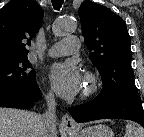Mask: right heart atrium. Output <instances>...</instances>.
I'll return each instance as SVG.
<instances>
[{"label": "right heart atrium", "instance_id": "obj_1", "mask_svg": "<svg viewBox=\"0 0 144 137\" xmlns=\"http://www.w3.org/2000/svg\"><path fill=\"white\" fill-rule=\"evenodd\" d=\"M47 97H48L49 99H52V94H51V93H48Z\"/></svg>", "mask_w": 144, "mask_h": 137}]
</instances>
